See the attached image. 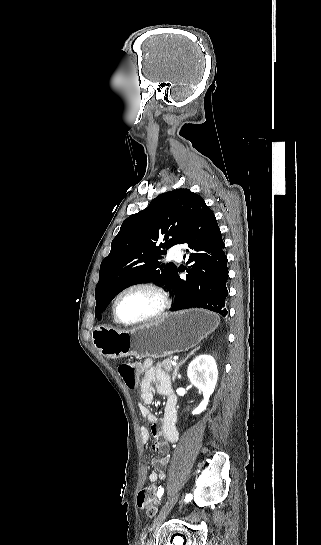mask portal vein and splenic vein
<instances>
[{"label":"portal vein and splenic vein","instance_id":"obj_1","mask_svg":"<svg viewBox=\"0 0 321 545\" xmlns=\"http://www.w3.org/2000/svg\"><path fill=\"white\" fill-rule=\"evenodd\" d=\"M179 355H173V359H178Z\"/></svg>","mask_w":321,"mask_h":545}]
</instances>
